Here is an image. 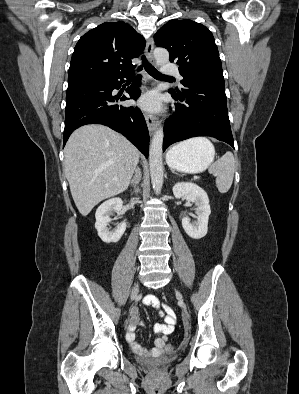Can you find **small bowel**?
Masks as SVG:
<instances>
[{"mask_svg": "<svg viewBox=\"0 0 299 394\" xmlns=\"http://www.w3.org/2000/svg\"><path fill=\"white\" fill-rule=\"evenodd\" d=\"M144 303L154 308L158 314L164 318L163 323H156L153 330L158 334L153 348L148 349L139 345L135 340V329L139 322L138 309L133 307L130 312L129 323L126 331V340L132 350L143 357H157L161 355L166 346L168 336L174 331L177 323L175 311L155 295H148L144 298Z\"/></svg>", "mask_w": 299, "mask_h": 394, "instance_id": "c3829d8e", "label": "small bowel"}]
</instances>
